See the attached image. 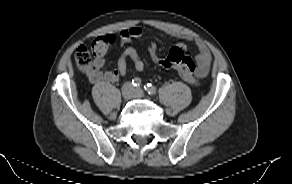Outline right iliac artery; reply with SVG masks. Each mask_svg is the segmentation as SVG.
Returning a JSON list of instances; mask_svg holds the SVG:
<instances>
[{"label": "right iliac artery", "mask_w": 292, "mask_h": 184, "mask_svg": "<svg viewBox=\"0 0 292 184\" xmlns=\"http://www.w3.org/2000/svg\"><path fill=\"white\" fill-rule=\"evenodd\" d=\"M132 85L134 86V87H139L140 85H141V79L140 78H134L133 80H132Z\"/></svg>", "instance_id": "right-iliac-artery-1"}]
</instances>
